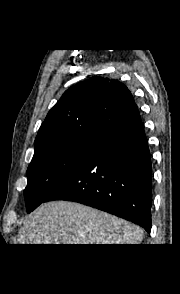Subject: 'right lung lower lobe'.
Returning a JSON list of instances; mask_svg holds the SVG:
<instances>
[{"instance_id": "98d812e1", "label": "right lung lower lobe", "mask_w": 180, "mask_h": 294, "mask_svg": "<svg viewBox=\"0 0 180 294\" xmlns=\"http://www.w3.org/2000/svg\"><path fill=\"white\" fill-rule=\"evenodd\" d=\"M152 165L138 109L46 199L79 202L151 230ZM45 201V202H46Z\"/></svg>"}]
</instances>
